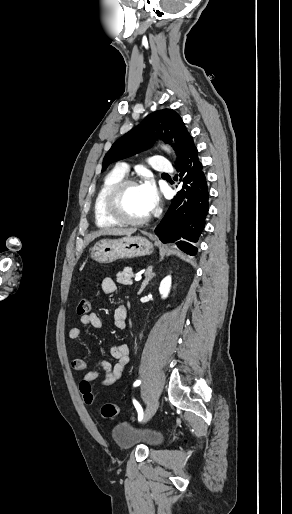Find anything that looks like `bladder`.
Listing matches in <instances>:
<instances>
[{"mask_svg": "<svg viewBox=\"0 0 292 514\" xmlns=\"http://www.w3.org/2000/svg\"><path fill=\"white\" fill-rule=\"evenodd\" d=\"M111 437L118 446L126 449L138 444L153 448L160 444L162 440L159 433L141 430L127 422H121L114 426Z\"/></svg>", "mask_w": 292, "mask_h": 514, "instance_id": "1", "label": "bladder"}]
</instances>
